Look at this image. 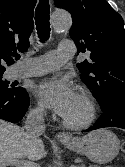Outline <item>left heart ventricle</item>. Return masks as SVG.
<instances>
[{
	"label": "left heart ventricle",
	"mask_w": 125,
	"mask_h": 167,
	"mask_svg": "<svg viewBox=\"0 0 125 167\" xmlns=\"http://www.w3.org/2000/svg\"><path fill=\"white\" fill-rule=\"evenodd\" d=\"M87 115L88 107L85 101L79 94H76L72 106L64 117L71 122H81L86 119Z\"/></svg>",
	"instance_id": "b2bd125f"
}]
</instances>
